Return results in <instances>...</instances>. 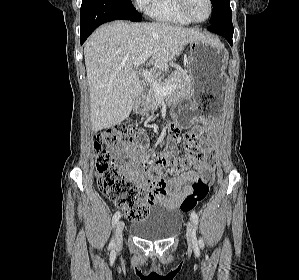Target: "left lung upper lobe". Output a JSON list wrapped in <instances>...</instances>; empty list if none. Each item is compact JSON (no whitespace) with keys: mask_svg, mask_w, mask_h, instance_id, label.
Here are the masks:
<instances>
[{"mask_svg":"<svg viewBox=\"0 0 299 280\" xmlns=\"http://www.w3.org/2000/svg\"><path fill=\"white\" fill-rule=\"evenodd\" d=\"M223 1H226V0H211V3L213 5V15L210 20V23L215 19L217 12L220 10V3Z\"/></svg>","mask_w":299,"mask_h":280,"instance_id":"1","label":"left lung upper lobe"}]
</instances>
